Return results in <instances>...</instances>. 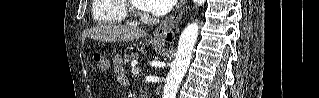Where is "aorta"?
Instances as JSON below:
<instances>
[{"mask_svg":"<svg viewBox=\"0 0 319 98\" xmlns=\"http://www.w3.org/2000/svg\"><path fill=\"white\" fill-rule=\"evenodd\" d=\"M196 4L203 5L205 0H195ZM199 34L197 22L188 24L183 30L177 47L175 59L166 79L163 98H175L178 87L190 65L192 51Z\"/></svg>","mask_w":319,"mask_h":98,"instance_id":"1","label":"aorta"}]
</instances>
